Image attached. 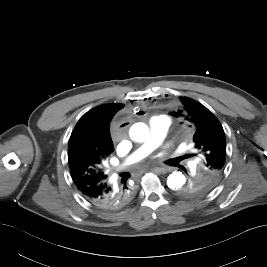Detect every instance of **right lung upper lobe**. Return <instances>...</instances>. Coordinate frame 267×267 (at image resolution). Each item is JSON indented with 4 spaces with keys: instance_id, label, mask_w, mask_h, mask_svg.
<instances>
[{
    "instance_id": "cb5924a9",
    "label": "right lung upper lobe",
    "mask_w": 267,
    "mask_h": 267,
    "mask_svg": "<svg viewBox=\"0 0 267 267\" xmlns=\"http://www.w3.org/2000/svg\"><path fill=\"white\" fill-rule=\"evenodd\" d=\"M123 104L97 106L84 114L76 124L68 145L70 170L84 157L92 155L103 162L113 152L114 146L109 133V122ZM107 175L96 178L87 184H76L78 189L105 180Z\"/></svg>"
}]
</instances>
